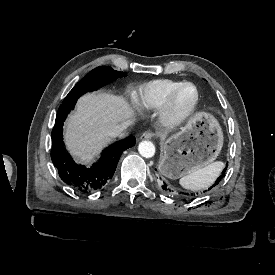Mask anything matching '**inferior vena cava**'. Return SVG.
<instances>
[{
    "label": "inferior vena cava",
    "mask_w": 275,
    "mask_h": 275,
    "mask_svg": "<svg viewBox=\"0 0 275 275\" xmlns=\"http://www.w3.org/2000/svg\"><path fill=\"white\" fill-rule=\"evenodd\" d=\"M128 124H120L114 127L113 129H110L107 131V135L110 137H116L120 135L126 128Z\"/></svg>",
    "instance_id": "602c4592"
}]
</instances>
